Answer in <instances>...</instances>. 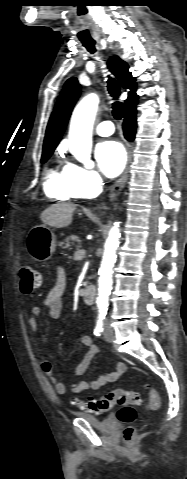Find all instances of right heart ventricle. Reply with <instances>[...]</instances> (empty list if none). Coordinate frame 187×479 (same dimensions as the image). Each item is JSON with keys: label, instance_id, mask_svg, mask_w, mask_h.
Here are the masks:
<instances>
[{"label": "right heart ventricle", "instance_id": "obj_1", "mask_svg": "<svg viewBox=\"0 0 187 479\" xmlns=\"http://www.w3.org/2000/svg\"><path fill=\"white\" fill-rule=\"evenodd\" d=\"M43 188L45 194L55 200L69 201L78 198L69 180L66 167L62 169L54 166L49 168L45 176Z\"/></svg>", "mask_w": 187, "mask_h": 479}]
</instances>
